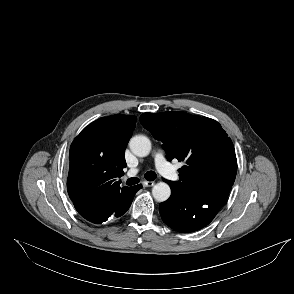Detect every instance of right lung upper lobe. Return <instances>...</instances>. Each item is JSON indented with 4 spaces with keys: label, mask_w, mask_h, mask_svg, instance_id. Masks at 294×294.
Returning <instances> with one entry per match:
<instances>
[{
    "label": "right lung upper lobe",
    "mask_w": 294,
    "mask_h": 294,
    "mask_svg": "<svg viewBox=\"0 0 294 294\" xmlns=\"http://www.w3.org/2000/svg\"><path fill=\"white\" fill-rule=\"evenodd\" d=\"M136 116L102 117L85 127L70 146L67 189L79 214L106 208L129 187L120 188L125 149L136 125Z\"/></svg>",
    "instance_id": "right-lung-upper-lobe-1"
}]
</instances>
